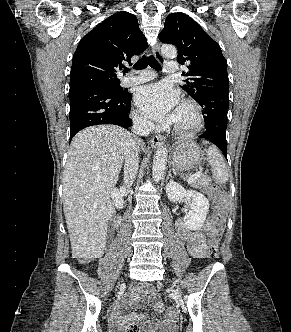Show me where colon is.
<instances>
[{
  "mask_svg": "<svg viewBox=\"0 0 291 332\" xmlns=\"http://www.w3.org/2000/svg\"><path fill=\"white\" fill-rule=\"evenodd\" d=\"M208 192L216 199L215 221L218 225H221L224 222L227 211L226 196L219 188L215 186L209 187ZM207 257L210 260H216L218 258L217 241H210ZM127 332H139V328L136 324H131L127 327Z\"/></svg>",
  "mask_w": 291,
  "mask_h": 332,
  "instance_id": "1",
  "label": "colon"
}]
</instances>
